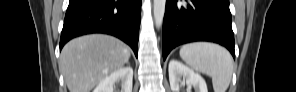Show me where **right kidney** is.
I'll list each match as a JSON object with an SVG mask.
<instances>
[{"label": "right kidney", "mask_w": 296, "mask_h": 92, "mask_svg": "<svg viewBox=\"0 0 296 92\" xmlns=\"http://www.w3.org/2000/svg\"><path fill=\"white\" fill-rule=\"evenodd\" d=\"M117 81L122 82L121 92H132L133 69L129 66L113 71L99 82L93 92H114V85Z\"/></svg>", "instance_id": "1"}]
</instances>
